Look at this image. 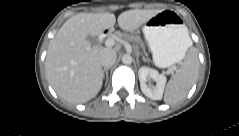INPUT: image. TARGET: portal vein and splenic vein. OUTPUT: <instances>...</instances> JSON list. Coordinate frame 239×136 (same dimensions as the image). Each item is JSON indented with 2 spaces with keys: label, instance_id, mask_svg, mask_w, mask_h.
<instances>
[{
  "label": "portal vein and splenic vein",
  "instance_id": "18ae733b",
  "mask_svg": "<svg viewBox=\"0 0 239 136\" xmlns=\"http://www.w3.org/2000/svg\"><path fill=\"white\" fill-rule=\"evenodd\" d=\"M105 45H106L107 47H112V46H114V45H115V39H114V38H108V39H106Z\"/></svg>",
  "mask_w": 239,
  "mask_h": 136
}]
</instances>
